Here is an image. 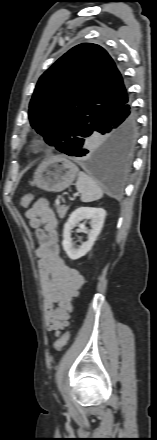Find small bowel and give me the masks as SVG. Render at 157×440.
Instances as JSON below:
<instances>
[{
	"label": "small bowel",
	"mask_w": 157,
	"mask_h": 440,
	"mask_svg": "<svg viewBox=\"0 0 157 440\" xmlns=\"http://www.w3.org/2000/svg\"><path fill=\"white\" fill-rule=\"evenodd\" d=\"M26 217L38 240L35 254L39 266L44 321L49 332L59 335L68 324L72 299L78 294L84 278L60 255L57 219L49 201L45 198L36 200L26 211Z\"/></svg>",
	"instance_id": "obj_1"
}]
</instances>
